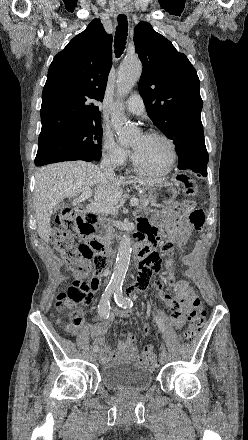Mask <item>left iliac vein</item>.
<instances>
[{"instance_id": "4c4485c4", "label": "left iliac vein", "mask_w": 248, "mask_h": 440, "mask_svg": "<svg viewBox=\"0 0 248 440\" xmlns=\"http://www.w3.org/2000/svg\"><path fill=\"white\" fill-rule=\"evenodd\" d=\"M169 361V356L165 350H163L160 354V362L162 364H165Z\"/></svg>"}]
</instances>
